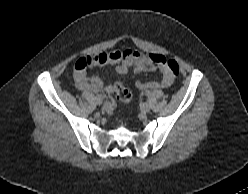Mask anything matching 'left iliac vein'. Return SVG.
Masks as SVG:
<instances>
[{
  "label": "left iliac vein",
  "instance_id": "obj_1",
  "mask_svg": "<svg viewBox=\"0 0 248 194\" xmlns=\"http://www.w3.org/2000/svg\"><path fill=\"white\" fill-rule=\"evenodd\" d=\"M150 110H151V105H150L149 103H144V104L142 105V111H143L144 113H148Z\"/></svg>",
  "mask_w": 248,
  "mask_h": 194
}]
</instances>
